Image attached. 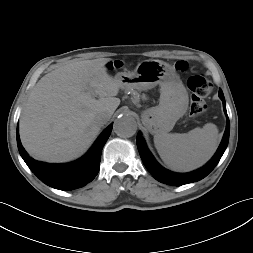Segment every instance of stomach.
Returning <instances> with one entry per match:
<instances>
[{"label":"stomach","mask_w":253,"mask_h":253,"mask_svg":"<svg viewBox=\"0 0 253 253\" xmlns=\"http://www.w3.org/2000/svg\"><path fill=\"white\" fill-rule=\"evenodd\" d=\"M124 90L145 91L160 85L159 105L142 113V123L152 134L171 131L189 104L188 93L175 69L161 60L141 61L133 72H120L115 78Z\"/></svg>","instance_id":"1"}]
</instances>
